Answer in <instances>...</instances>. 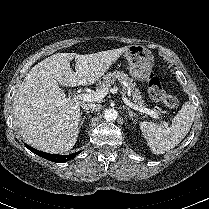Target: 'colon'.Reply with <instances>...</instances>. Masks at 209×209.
<instances>
[{
	"label": "colon",
	"mask_w": 209,
	"mask_h": 209,
	"mask_svg": "<svg viewBox=\"0 0 209 209\" xmlns=\"http://www.w3.org/2000/svg\"><path fill=\"white\" fill-rule=\"evenodd\" d=\"M147 88L152 100L160 102L165 107L170 109L176 108L178 106V99L175 96L166 93L160 79L153 73L148 77Z\"/></svg>",
	"instance_id": "5ec220e1"
}]
</instances>
